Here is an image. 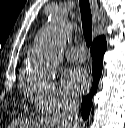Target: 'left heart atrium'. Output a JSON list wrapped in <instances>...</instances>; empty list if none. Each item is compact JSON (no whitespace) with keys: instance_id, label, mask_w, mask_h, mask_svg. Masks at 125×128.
I'll return each instance as SVG.
<instances>
[{"instance_id":"1","label":"left heart atrium","mask_w":125,"mask_h":128,"mask_svg":"<svg viewBox=\"0 0 125 128\" xmlns=\"http://www.w3.org/2000/svg\"><path fill=\"white\" fill-rule=\"evenodd\" d=\"M62 84L69 93L79 95L87 88L89 77L83 68L72 67L64 73Z\"/></svg>"}]
</instances>
